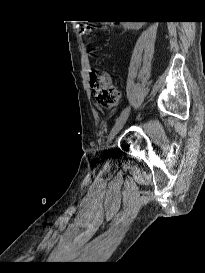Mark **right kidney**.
Here are the masks:
<instances>
[{
    "instance_id": "1",
    "label": "right kidney",
    "mask_w": 205,
    "mask_h": 273,
    "mask_svg": "<svg viewBox=\"0 0 205 273\" xmlns=\"http://www.w3.org/2000/svg\"><path fill=\"white\" fill-rule=\"evenodd\" d=\"M143 22H132V23H124L123 26L125 29H133L138 30L142 27Z\"/></svg>"
}]
</instances>
